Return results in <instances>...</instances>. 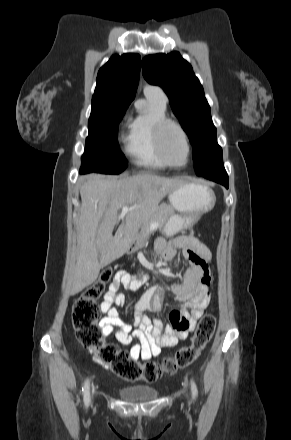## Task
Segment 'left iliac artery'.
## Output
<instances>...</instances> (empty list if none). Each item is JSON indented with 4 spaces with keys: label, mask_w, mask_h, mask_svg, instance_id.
I'll return each mask as SVG.
<instances>
[{
    "label": "left iliac artery",
    "mask_w": 291,
    "mask_h": 440,
    "mask_svg": "<svg viewBox=\"0 0 291 440\" xmlns=\"http://www.w3.org/2000/svg\"><path fill=\"white\" fill-rule=\"evenodd\" d=\"M190 384H191L192 396L195 399L198 394V389H197L196 383L193 379H191Z\"/></svg>",
    "instance_id": "1"
}]
</instances>
